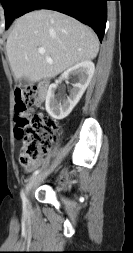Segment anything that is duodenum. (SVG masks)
Here are the masks:
<instances>
[{
    "instance_id": "410a0bca",
    "label": "duodenum",
    "mask_w": 133,
    "mask_h": 253,
    "mask_svg": "<svg viewBox=\"0 0 133 253\" xmlns=\"http://www.w3.org/2000/svg\"><path fill=\"white\" fill-rule=\"evenodd\" d=\"M39 87V91H40V95L41 97H45L47 92H48V88H49V83L48 81H41L38 85Z\"/></svg>"
}]
</instances>
